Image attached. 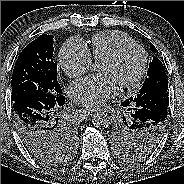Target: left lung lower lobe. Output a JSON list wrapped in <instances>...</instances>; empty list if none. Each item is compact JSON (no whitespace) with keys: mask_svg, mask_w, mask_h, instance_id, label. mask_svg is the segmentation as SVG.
<instances>
[{"mask_svg":"<svg viewBox=\"0 0 184 184\" xmlns=\"http://www.w3.org/2000/svg\"><path fill=\"white\" fill-rule=\"evenodd\" d=\"M169 92L165 89H158L147 92L141 96H136L130 101L121 104L124 107H130L134 125L148 130L155 136L158 144L165 133V124L168 114ZM133 105V106H132ZM152 127V129H149ZM162 129V131L160 130ZM152 150L150 144L138 146L137 152H148Z\"/></svg>","mask_w":184,"mask_h":184,"instance_id":"left-lung-lower-lobe-1","label":"left lung lower lobe"}]
</instances>
